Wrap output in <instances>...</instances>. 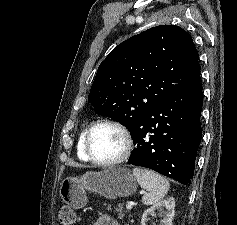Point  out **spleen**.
I'll list each match as a JSON object with an SVG mask.
<instances>
[{"label": "spleen", "mask_w": 237, "mask_h": 225, "mask_svg": "<svg viewBox=\"0 0 237 225\" xmlns=\"http://www.w3.org/2000/svg\"><path fill=\"white\" fill-rule=\"evenodd\" d=\"M132 172L139 185L148 191V193L142 197L143 204H156L168 193L170 184L163 176L151 170L137 167L133 168Z\"/></svg>", "instance_id": "3e777b00"}]
</instances>
